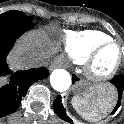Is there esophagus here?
Returning a JSON list of instances; mask_svg holds the SVG:
<instances>
[{
	"label": "esophagus",
	"mask_w": 124,
	"mask_h": 124,
	"mask_svg": "<svg viewBox=\"0 0 124 124\" xmlns=\"http://www.w3.org/2000/svg\"><path fill=\"white\" fill-rule=\"evenodd\" d=\"M59 65V61L58 60H54L53 63H52V66H58Z\"/></svg>",
	"instance_id": "1"
}]
</instances>
